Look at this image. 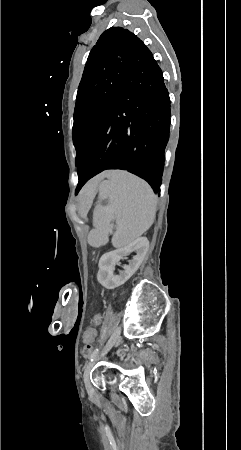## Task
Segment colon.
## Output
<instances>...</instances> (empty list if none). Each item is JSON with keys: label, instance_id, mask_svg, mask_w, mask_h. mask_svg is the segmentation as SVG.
<instances>
[{"label": "colon", "instance_id": "obj_1", "mask_svg": "<svg viewBox=\"0 0 241 450\" xmlns=\"http://www.w3.org/2000/svg\"><path fill=\"white\" fill-rule=\"evenodd\" d=\"M97 327L95 324H88L86 328L83 329V336L84 337H94L95 333H96ZM94 346L91 343L86 344V346H84L82 348L81 351V356H87L91 353V351H93ZM143 353L148 355L151 353V348L146 346L143 348ZM152 358L155 356L153 353L150 355Z\"/></svg>", "mask_w": 241, "mask_h": 450}]
</instances>
